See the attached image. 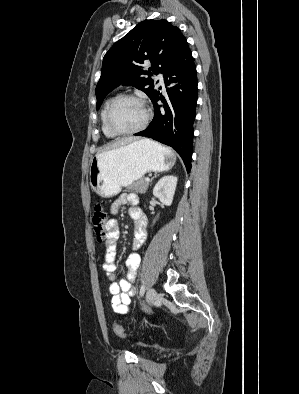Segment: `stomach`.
Returning <instances> with one entry per match:
<instances>
[{
    "label": "stomach",
    "mask_w": 299,
    "mask_h": 394,
    "mask_svg": "<svg viewBox=\"0 0 299 394\" xmlns=\"http://www.w3.org/2000/svg\"><path fill=\"white\" fill-rule=\"evenodd\" d=\"M176 162L175 154L151 140L141 139L98 153L91 160L89 183L101 197L118 194L146 173L167 171Z\"/></svg>",
    "instance_id": "stomach-1"
}]
</instances>
